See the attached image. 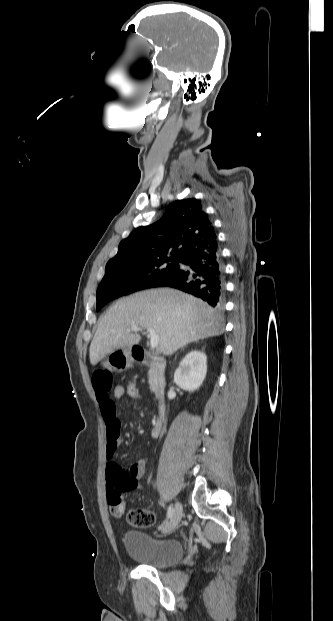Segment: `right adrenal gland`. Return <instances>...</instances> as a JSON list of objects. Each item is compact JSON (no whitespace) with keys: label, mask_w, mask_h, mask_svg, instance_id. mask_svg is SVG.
<instances>
[{"label":"right adrenal gland","mask_w":333,"mask_h":621,"mask_svg":"<svg viewBox=\"0 0 333 621\" xmlns=\"http://www.w3.org/2000/svg\"><path fill=\"white\" fill-rule=\"evenodd\" d=\"M195 342L197 343L198 341H194V343H195ZM186 346H187V345L183 346V347L181 348V350H183ZM176 357H177V355H176ZM176 357H175V359H176Z\"/></svg>","instance_id":"right-adrenal-gland-1"}]
</instances>
